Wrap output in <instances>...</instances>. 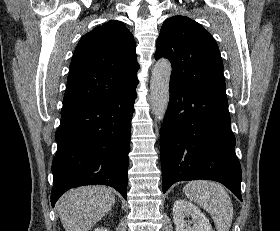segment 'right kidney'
I'll return each mask as SVG.
<instances>
[{
	"instance_id": "right-kidney-1",
	"label": "right kidney",
	"mask_w": 280,
	"mask_h": 231,
	"mask_svg": "<svg viewBox=\"0 0 280 231\" xmlns=\"http://www.w3.org/2000/svg\"><path fill=\"white\" fill-rule=\"evenodd\" d=\"M94 231H108L107 227H96Z\"/></svg>"
}]
</instances>
